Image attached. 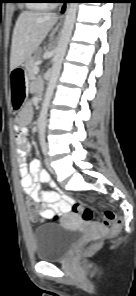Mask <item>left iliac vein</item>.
I'll list each match as a JSON object with an SVG mask.
<instances>
[{
	"instance_id": "obj_1",
	"label": "left iliac vein",
	"mask_w": 136,
	"mask_h": 296,
	"mask_svg": "<svg viewBox=\"0 0 136 296\" xmlns=\"http://www.w3.org/2000/svg\"><path fill=\"white\" fill-rule=\"evenodd\" d=\"M45 164L51 173H54V168L50 165V161L48 159L45 160Z\"/></svg>"
}]
</instances>
